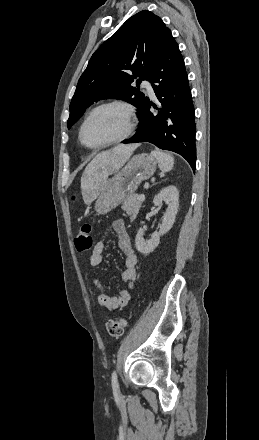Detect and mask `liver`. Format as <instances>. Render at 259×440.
I'll return each instance as SVG.
<instances>
[{
  "mask_svg": "<svg viewBox=\"0 0 259 440\" xmlns=\"http://www.w3.org/2000/svg\"><path fill=\"white\" fill-rule=\"evenodd\" d=\"M138 144L118 145L103 151L87 165L81 177V189L85 204H90L107 185L108 176L117 172L131 157Z\"/></svg>",
  "mask_w": 259,
  "mask_h": 440,
  "instance_id": "liver-1",
  "label": "liver"
}]
</instances>
